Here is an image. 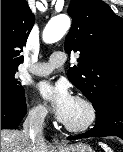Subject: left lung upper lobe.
Returning a JSON list of instances; mask_svg holds the SVG:
<instances>
[{
    "label": "left lung upper lobe",
    "instance_id": "1",
    "mask_svg": "<svg viewBox=\"0 0 123 152\" xmlns=\"http://www.w3.org/2000/svg\"><path fill=\"white\" fill-rule=\"evenodd\" d=\"M72 26L64 48L80 53L68 78L96 108L123 97V19L101 0H72Z\"/></svg>",
    "mask_w": 123,
    "mask_h": 152
}]
</instances>
